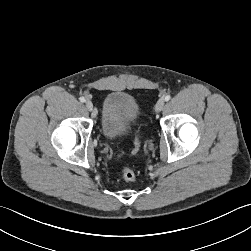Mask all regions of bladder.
<instances>
[{
  "instance_id": "obj_1",
  "label": "bladder",
  "mask_w": 251,
  "mask_h": 251,
  "mask_svg": "<svg viewBox=\"0 0 251 251\" xmlns=\"http://www.w3.org/2000/svg\"><path fill=\"white\" fill-rule=\"evenodd\" d=\"M141 108L137 100L122 91H112L102 103L100 130L110 141L124 138L131 124L138 123Z\"/></svg>"
}]
</instances>
